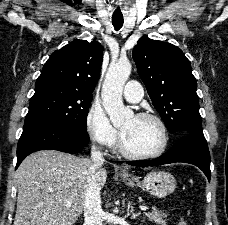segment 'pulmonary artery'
<instances>
[{
	"label": "pulmonary artery",
	"instance_id": "pulmonary-artery-1",
	"mask_svg": "<svg viewBox=\"0 0 228 225\" xmlns=\"http://www.w3.org/2000/svg\"><path fill=\"white\" fill-rule=\"evenodd\" d=\"M142 85H139L138 81H127L123 95L128 102L137 103L141 100Z\"/></svg>",
	"mask_w": 228,
	"mask_h": 225
}]
</instances>
